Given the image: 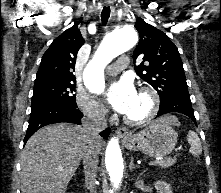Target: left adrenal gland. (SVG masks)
I'll use <instances>...</instances> for the list:
<instances>
[{"instance_id":"obj_1","label":"left adrenal gland","mask_w":221,"mask_h":193,"mask_svg":"<svg viewBox=\"0 0 221 193\" xmlns=\"http://www.w3.org/2000/svg\"><path fill=\"white\" fill-rule=\"evenodd\" d=\"M136 168H138V166L134 165L133 157H131V161H130V164H129V170L132 172Z\"/></svg>"}]
</instances>
